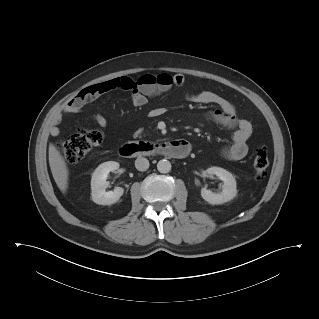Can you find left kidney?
<instances>
[{
  "label": "left kidney",
  "mask_w": 319,
  "mask_h": 319,
  "mask_svg": "<svg viewBox=\"0 0 319 319\" xmlns=\"http://www.w3.org/2000/svg\"><path fill=\"white\" fill-rule=\"evenodd\" d=\"M206 173L216 175L224 183L221 193H213L206 188H202L201 196L209 204H223L232 200L237 195L236 180L230 172L220 167H210L206 170Z\"/></svg>",
  "instance_id": "obj_1"
}]
</instances>
